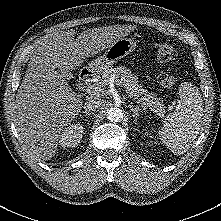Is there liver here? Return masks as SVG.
Instances as JSON below:
<instances>
[{"instance_id": "obj_1", "label": "liver", "mask_w": 221, "mask_h": 221, "mask_svg": "<svg viewBox=\"0 0 221 221\" xmlns=\"http://www.w3.org/2000/svg\"><path fill=\"white\" fill-rule=\"evenodd\" d=\"M135 29L132 25L59 31L34 50L16 94L15 123L20 137L37 158L51 159L64 128L79 114L83 97L73 92L62 70L80 66Z\"/></svg>"}]
</instances>
